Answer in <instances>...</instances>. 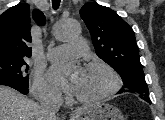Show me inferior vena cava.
Returning <instances> with one entry per match:
<instances>
[{
  "label": "inferior vena cava",
  "mask_w": 165,
  "mask_h": 120,
  "mask_svg": "<svg viewBox=\"0 0 165 120\" xmlns=\"http://www.w3.org/2000/svg\"><path fill=\"white\" fill-rule=\"evenodd\" d=\"M41 119L56 120V112L59 110L62 103L61 97L58 94L43 92L39 96Z\"/></svg>",
  "instance_id": "1"
}]
</instances>
